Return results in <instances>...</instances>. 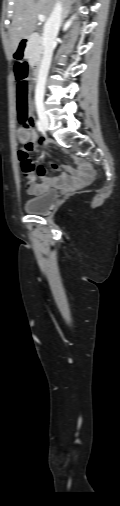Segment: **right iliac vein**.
I'll use <instances>...</instances> for the list:
<instances>
[{
    "mask_svg": "<svg viewBox=\"0 0 120 506\" xmlns=\"http://www.w3.org/2000/svg\"><path fill=\"white\" fill-rule=\"evenodd\" d=\"M37 112H38V115H39V118H40V121H41V124H42L43 128L45 130H47L48 127H49V120H48V117L46 115V112L44 111V108L42 106H38L37 107Z\"/></svg>",
    "mask_w": 120,
    "mask_h": 506,
    "instance_id": "right-iliac-vein-1",
    "label": "right iliac vein"
}]
</instances>
